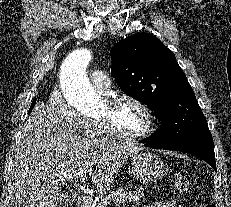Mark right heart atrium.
Here are the masks:
<instances>
[{"label": "right heart atrium", "mask_w": 231, "mask_h": 207, "mask_svg": "<svg viewBox=\"0 0 231 207\" xmlns=\"http://www.w3.org/2000/svg\"><path fill=\"white\" fill-rule=\"evenodd\" d=\"M50 106L62 123L83 133L86 131V119L65 100L60 90L51 92Z\"/></svg>", "instance_id": "right-heart-atrium-1"}]
</instances>
